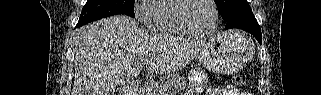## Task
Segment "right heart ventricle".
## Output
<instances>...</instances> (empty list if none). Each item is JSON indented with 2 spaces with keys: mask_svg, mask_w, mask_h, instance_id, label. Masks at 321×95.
<instances>
[{
  "mask_svg": "<svg viewBox=\"0 0 321 95\" xmlns=\"http://www.w3.org/2000/svg\"><path fill=\"white\" fill-rule=\"evenodd\" d=\"M179 0H155L152 8V13L147 22V26L150 30L189 36L185 30L176 25L173 21V10Z\"/></svg>",
  "mask_w": 321,
  "mask_h": 95,
  "instance_id": "right-heart-ventricle-1",
  "label": "right heart ventricle"
}]
</instances>
